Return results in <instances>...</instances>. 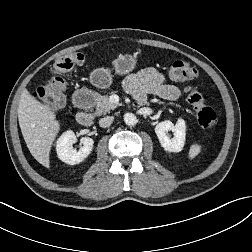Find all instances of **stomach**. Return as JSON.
<instances>
[{
	"label": "stomach",
	"instance_id": "obj_1",
	"mask_svg": "<svg viewBox=\"0 0 252 252\" xmlns=\"http://www.w3.org/2000/svg\"><path fill=\"white\" fill-rule=\"evenodd\" d=\"M136 64V53L120 54L117 59L113 61L114 73L121 76L127 75L135 69ZM112 77L110 69L98 68L90 74V82L99 89H106L112 84Z\"/></svg>",
	"mask_w": 252,
	"mask_h": 252
}]
</instances>
